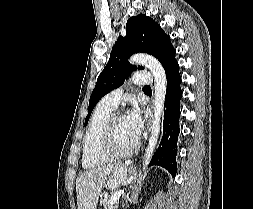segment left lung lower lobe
Segmentation results:
<instances>
[{"label": "left lung lower lobe", "mask_w": 253, "mask_h": 209, "mask_svg": "<svg viewBox=\"0 0 253 209\" xmlns=\"http://www.w3.org/2000/svg\"><path fill=\"white\" fill-rule=\"evenodd\" d=\"M178 62H174L165 72L167 78V90L164 104L163 136L158 150L155 152L150 165H158L167 169L172 175H176L177 141L180 133V100L182 91L180 88L181 76L178 71Z\"/></svg>", "instance_id": "left-lung-lower-lobe-1"}]
</instances>
